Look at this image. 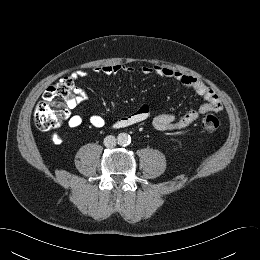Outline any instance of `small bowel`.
Returning a JSON list of instances; mask_svg holds the SVG:
<instances>
[{
  "instance_id": "obj_1",
  "label": "small bowel",
  "mask_w": 260,
  "mask_h": 260,
  "mask_svg": "<svg viewBox=\"0 0 260 260\" xmlns=\"http://www.w3.org/2000/svg\"><path fill=\"white\" fill-rule=\"evenodd\" d=\"M96 73L105 75H114L120 72L132 73L134 69L124 64H108L94 69ZM141 72L144 75H157L160 77L171 78L177 80L182 86L193 89L198 95L205 100L198 109L186 112L182 117L176 118L172 114H162L153 119L152 126L158 132H170L183 130L196 121L200 115L208 112H219L223 105L218 94L204 82L191 75L173 70L171 68L155 65L143 66ZM75 79H82L86 76L84 70H77L72 74ZM83 98V91L77 88V98L69 104V109H73ZM152 115V107L149 103L142 104L134 113L118 118L113 122L116 129L126 128L147 121ZM68 126L78 128L82 124V117L77 114L68 113L66 115ZM90 123L97 128L105 125V120L100 115H92ZM54 143H60L61 137L58 134L52 135Z\"/></svg>"
}]
</instances>
